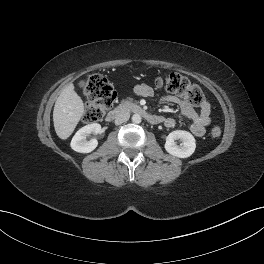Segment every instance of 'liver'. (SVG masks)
Returning <instances> with one entry per match:
<instances>
[{
    "mask_svg": "<svg viewBox=\"0 0 264 264\" xmlns=\"http://www.w3.org/2000/svg\"><path fill=\"white\" fill-rule=\"evenodd\" d=\"M84 113V103L73 84L66 86L58 96L53 110V123L57 136L66 140L74 131Z\"/></svg>",
    "mask_w": 264,
    "mask_h": 264,
    "instance_id": "obj_1",
    "label": "liver"
}]
</instances>
